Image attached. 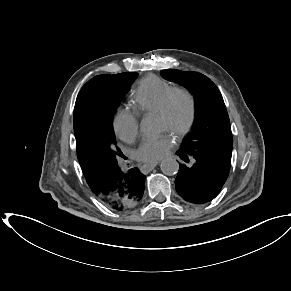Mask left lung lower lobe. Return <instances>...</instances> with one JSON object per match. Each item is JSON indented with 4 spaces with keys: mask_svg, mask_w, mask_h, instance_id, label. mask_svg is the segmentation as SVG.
<instances>
[{
    "mask_svg": "<svg viewBox=\"0 0 291 291\" xmlns=\"http://www.w3.org/2000/svg\"><path fill=\"white\" fill-rule=\"evenodd\" d=\"M185 162L188 154L176 152ZM194 164L191 167L179 165L175 179L177 193L187 202L204 204L213 200L221 191L228 175L229 167L216 161L193 156Z\"/></svg>",
    "mask_w": 291,
    "mask_h": 291,
    "instance_id": "1",
    "label": "left lung lower lobe"
}]
</instances>
